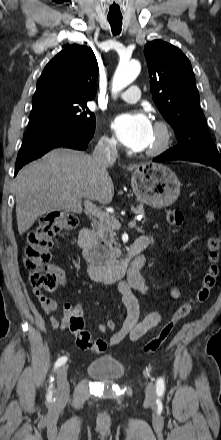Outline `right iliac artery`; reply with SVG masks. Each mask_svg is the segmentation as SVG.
Returning <instances> with one entry per match:
<instances>
[{"instance_id": "right-iliac-artery-1", "label": "right iliac artery", "mask_w": 221, "mask_h": 440, "mask_svg": "<svg viewBox=\"0 0 221 440\" xmlns=\"http://www.w3.org/2000/svg\"><path fill=\"white\" fill-rule=\"evenodd\" d=\"M67 361V357H65V356H63V357H60L57 361H56V363H55V366H54V369H57V368H59L61 365H63L65 362ZM53 380H54V378L53 377H51V382H53ZM50 391H49V396H52V385L50 386Z\"/></svg>"}]
</instances>
